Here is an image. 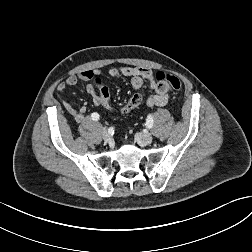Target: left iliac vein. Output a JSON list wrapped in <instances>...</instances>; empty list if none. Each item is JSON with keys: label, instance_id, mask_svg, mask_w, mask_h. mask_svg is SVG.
Instances as JSON below:
<instances>
[{"label": "left iliac vein", "instance_id": "1", "mask_svg": "<svg viewBox=\"0 0 252 252\" xmlns=\"http://www.w3.org/2000/svg\"><path fill=\"white\" fill-rule=\"evenodd\" d=\"M135 139L141 145H148L152 142L153 136L150 133H136Z\"/></svg>", "mask_w": 252, "mask_h": 252}]
</instances>
